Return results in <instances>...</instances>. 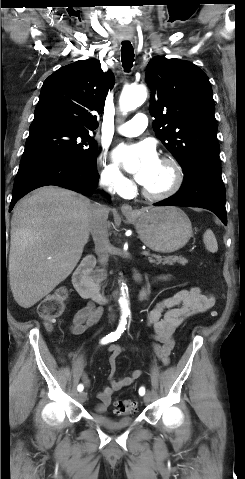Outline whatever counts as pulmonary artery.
<instances>
[{"instance_id":"pulmonary-artery-1","label":"pulmonary artery","mask_w":245,"mask_h":479,"mask_svg":"<svg viewBox=\"0 0 245 479\" xmlns=\"http://www.w3.org/2000/svg\"><path fill=\"white\" fill-rule=\"evenodd\" d=\"M147 116L143 113L135 114L131 120L120 125L117 131L124 136H137L147 127Z\"/></svg>"}]
</instances>
